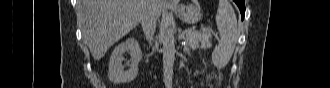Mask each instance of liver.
<instances>
[{"label":"liver","instance_id":"liver-1","mask_svg":"<svg viewBox=\"0 0 330 88\" xmlns=\"http://www.w3.org/2000/svg\"><path fill=\"white\" fill-rule=\"evenodd\" d=\"M146 6L147 0H79L82 37L95 60L137 26ZM162 7V0H156L158 17Z\"/></svg>","mask_w":330,"mask_h":88}]
</instances>
